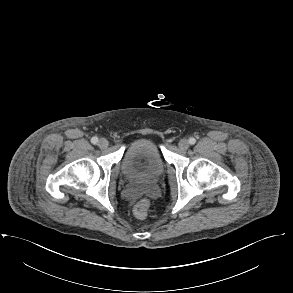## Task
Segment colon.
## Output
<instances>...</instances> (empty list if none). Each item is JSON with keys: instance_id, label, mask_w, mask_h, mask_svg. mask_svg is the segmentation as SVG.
Returning a JSON list of instances; mask_svg holds the SVG:
<instances>
[{"instance_id": "5ec220e1", "label": "colon", "mask_w": 293, "mask_h": 293, "mask_svg": "<svg viewBox=\"0 0 293 293\" xmlns=\"http://www.w3.org/2000/svg\"><path fill=\"white\" fill-rule=\"evenodd\" d=\"M150 202L148 199H141L133 208V213L138 219H145L148 214Z\"/></svg>"}]
</instances>
